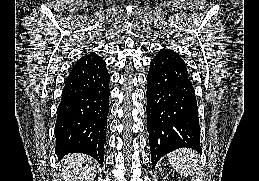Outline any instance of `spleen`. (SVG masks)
Segmentation results:
<instances>
[{
	"instance_id": "3e777b00",
	"label": "spleen",
	"mask_w": 259,
	"mask_h": 181,
	"mask_svg": "<svg viewBox=\"0 0 259 181\" xmlns=\"http://www.w3.org/2000/svg\"><path fill=\"white\" fill-rule=\"evenodd\" d=\"M172 167L183 177L196 176L198 168V154L189 148H182L169 154Z\"/></svg>"
}]
</instances>
